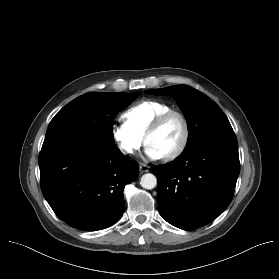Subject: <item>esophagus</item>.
Returning <instances> with one entry per match:
<instances>
[{"mask_svg": "<svg viewBox=\"0 0 279 279\" xmlns=\"http://www.w3.org/2000/svg\"><path fill=\"white\" fill-rule=\"evenodd\" d=\"M148 171H149V166L144 164V163H141L140 164V172L145 173V172H148Z\"/></svg>", "mask_w": 279, "mask_h": 279, "instance_id": "obj_1", "label": "esophagus"}]
</instances>
